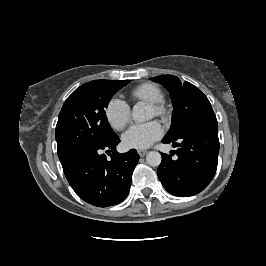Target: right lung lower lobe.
I'll return each mask as SVG.
<instances>
[{
    "label": "right lung lower lobe",
    "mask_w": 266,
    "mask_h": 266,
    "mask_svg": "<svg viewBox=\"0 0 266 266\" xmlns=\"http://www.w3.org/2000/svg\"><path fill=\"white\" fill-rule=\"evenodd\" d=\"M120 142L116 135L109 142L89 151H82L61 163L64 174L84 201L98 207L122 202L128 195L132 173L139 155L135 149L121 154L116 151ZM102 150L112 152L107 159Z\"/></svg>",
    "instance_id": "right-lung-lower-lobe-1"
}]
</instances>
